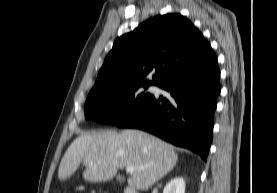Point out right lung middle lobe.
<instances>
[{
	"instance_id": "right-lung-middle-lobe-1",
	"label": "right lung middle lobe",
	"mask_w": 277,
	"mask_h": 193,
	"mask_svg": "<svg viewBox=\"0 0 277 193\" xmlns=\"http://www.w3.org/2000/svg\"><path fill=\"white\" fill-rule=\"evenodd\" d=\"M148 86L135 85L90 93L84 106L85 119L117 125L152 98L144 91Z\"/></svg>"
}]
</instances>
